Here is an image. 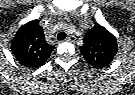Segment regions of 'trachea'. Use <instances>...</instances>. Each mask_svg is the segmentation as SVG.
<instances>
[{
  "label": "trachea",
  "instance_id": "3493384b",
  "mask_svg": "<svg viewBox=\"0 0 135 95\" xmlns=\"http://www.w3.org/2000/svg\"><path fill=\"white\" fill-rule=\"evenodd\" d=\"M67 34L65 32H60L58 35H57V39L58 40H64L66 38Z\"/></svg>",
  "mask_w": 135,
  "mask_h": 95
}]
</instances>
